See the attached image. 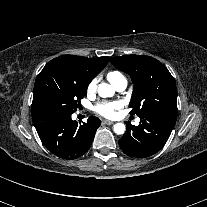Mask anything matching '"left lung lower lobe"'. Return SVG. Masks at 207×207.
I'll use <instances>...</instances> for the list:
<instances>
[{"mask_svg":"<svg viewBox=\"0 0 207 207\" xmlns=\"http://www.w3.org/2000/svg\"><path fill=\"white\" fill-rule=\"evenodd\" d=\"M177 115L160 112L140 116V124L127 123V130L118 141L122 151L136 158H146L157 153L167 142Z\"/></svg>","mask_w":207,"mask_h":207,"instance_id":"left-lung-lower-lobe-1","label":"left lung lower lobe"}]
</instances>
